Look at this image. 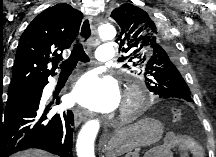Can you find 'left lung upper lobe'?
Masks as SVG:
<instances>
[{"label": "left lung upper lobe", "mask_w": 216, "mask_h": 157, "mask_svg": "<svg viewBox=\"0 0 216 157\" xmlns=\"http://www.w3.org/2000/svg\"><path fill=\"white\" fill-rule=\"evenodd\" d=\"M110 17L119 25V49L127 54L121 60L144 72L147 88L162 99L192 102L181 75L185 71L177 64V48H173L172 35H168L161 19L130 3L115 8Z\"/></svg>", "instance_id": "5c2ea615"}]
</instances>
